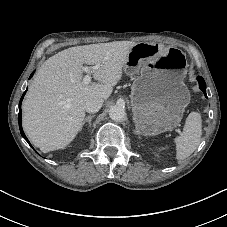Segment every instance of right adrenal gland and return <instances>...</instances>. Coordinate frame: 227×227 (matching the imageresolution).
<instances>
[{
    "label": "right adrenal gland",
    "mask_w": 227,
    "mask_h": 227,
    "mask_svg": "<svg viewBox=\"0 0 227 227\" xmlns=\"http://www.w3.org/2000/svg\"><path fill=\"white\" fill-rule=\"evenodd\" d=\"M95 115L94 114H91L89 116H87L85 119H84V122H83V125L88 122V127L90 128L91 127V121H92V118L94 117Z\"/></svg>",
    "instance_id": "obj_1"
}]
</instances>
